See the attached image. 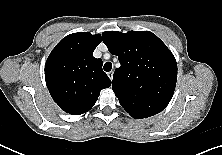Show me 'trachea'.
Returning a JSON list of instances; mask_svg holds the SVG:
<instances>
[{"instance_id":"trachea-1","label":"trachea","mask_w":222,"mask_h":155,"mask_svg":"<svg viewBox=\"0 0 222 155\" xmlns=\"http://www.w3.org/2000/svg\"><path fill=\"white\" fill-rule=\"evenodd\" d=\"M104 71H106V72H109V71H111V69H112V63L111 62H106L105 64H104Z\"/></svg>"}]
</instances>
